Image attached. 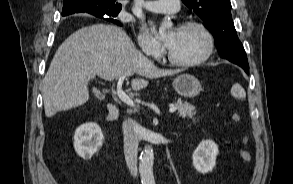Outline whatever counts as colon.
<instances>
[{"mask_svg":"<svg viewBox=\"0 0 293 184\" xmlns=\"http://www.w3.org/2000/svg\"><path fill=\"white\" fill-rule=\"evenodd\" d=\"M232 120L235 121V122H239V121L241 120V116H240V114H238V113H233V114H232ZM242 143H243L244 146L246 145V143H247V138H246V137L243 139ZM239 154H240V157H241L244 161L248 162V161L251 160V154H250V152H249L245 147H243V148L240 150V153H239Z\"/></svg>","mask_w":293,"mask_h":184,"instance_id":"obj_1","label":"colon"}]
</instances>
